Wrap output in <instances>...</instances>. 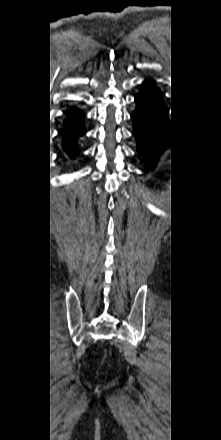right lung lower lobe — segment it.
I'll list each match as a JSON object with an SVG mask.
<instances>
[{"label": "right lung lower lobe", "mask_w": 221, "mask_h": 440, "mask_svg": "<svg viewBox=\"0 0 221 440\" xmlns=\"http://www.w3.org/2000/svg\"><path fill=\"white\" fill-rule=\"evenodd\" d=\"M83 117V112L77 108L71 109L68 113L65 123L63 147L70 156H74L79 152L76 140L85 133Z\"/></svg>", "instance_id": "obj_1"}]
</instances>
